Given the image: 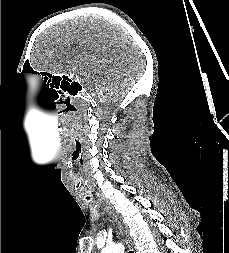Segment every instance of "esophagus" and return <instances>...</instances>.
Masks as SVG:
<instances>
[{
	"label": "esophagus",
	"instance_id": "1",
	"mask_svg": "<svg viewBox=\"0 0 229 253\" xmlns=\"http://www.w3.org/2000/svg\"><path fill=\"white\" fill-rule=\"evenodd\" d=\"M104 205L106 206V209L108 211V213L112 216V218L115 220L117 226H118V229L120 231V233L124 236L125 240H126V243L128 245V247L131 249V250H134V242H133V239L132 237L130 236V233H129V229L128 227L125 225L122 217L112 208V206L107 203V202H104Z\"/></svg>",
	"mask_w": 229,
	"mask_h": 253
}]
</instances>
